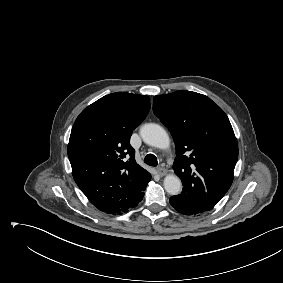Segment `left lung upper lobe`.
I'll use <instances>...</instances> for the list:
<instances>
[{
	"label": "left lung upper lobe",
	"instance_id": "1",
	"mask_svg": "<svg viewBox=\"0 0 283 283\" xmlns=\"http://www.w3.org/2000/svg\"><path fill=\"white\" fill-rule=\"evenodd\" d=\"M153 111L174 138L181 194L211 210L229 190L238 159L227 115L207 96L186 90L155 96Z\"/></svg>",
	"mask_w": 283,
	"mask_h": 283
}]
</instances>
